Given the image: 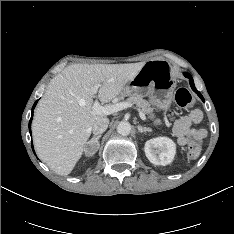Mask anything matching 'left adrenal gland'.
I'll use <instances>...</instances> for the list:
<instances>
[{"instance_id": "obj_1", "label": "left adrenal gland", "mask_w": 234, "mask_h": 234, "mask_svg": "<svg viewBox=\"0 0 234 234\" xmlns=\"http://www.w3.org/2000/svg\"><path fill=\"white\" fill-rule=\"evenodd\" d=\"M137 128H138V131H139L140 133L152 132V129H151V128L143 127V126H141V125H139Z\"/></svg>"}]
</instances>
